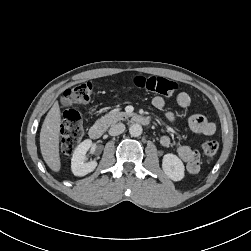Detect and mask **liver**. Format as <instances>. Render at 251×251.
Instances as JSON below:
<instances>
[{
	"instance_id": "6515ba94",
	"label": "liver",
	"mask_w": 251,
	"mask_h": 251,
	"mask_svg": "<svg viewBox=\"0 0 251 251\" xmlns=\"http://www.w3.org/2000/svg\"><path fill=\"white\" fill-rule=\"evenodd\" d=\"M61 112L59 103L56 101L51 107L42 124L40 132V149L44 161L54 172L61 168L59 156Z\"/></svg>"
}]
</instances>
